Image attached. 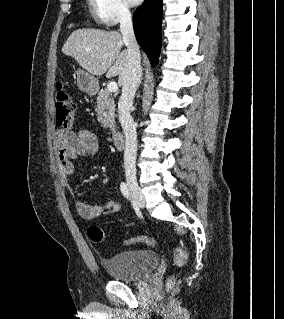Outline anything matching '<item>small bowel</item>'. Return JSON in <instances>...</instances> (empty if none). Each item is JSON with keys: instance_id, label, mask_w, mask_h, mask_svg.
Listing matches in <instances>:
<instances>
[{"instance_id": "c3829d8e", "label": "small bowel", "mask_w": 284, "mask_h": 319, "mask_svg": "<svg viewBox=\"0 0 284 319\" xmlns=\"http://www.w3.org/2000/svg\"><path fill=\"white\" fill-rule=\"evenodd\" d=\"M56 140L59 150L60 172L67 182L74 172L73 160L91 158L100 149L97 134L85 127L74 131L59 130L56 133ZM75 206L79 216L84 220L111 217L121 210L120 204L114 200L103 205H91L87 203L80 192L76 193Z\"/></svg>"}]
</instances>
